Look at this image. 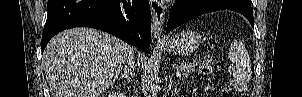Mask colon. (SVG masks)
Instances as JSON below:
<instances>
[{"label":"colon","instance_id":"5ec220e1","mask_svg":"<svg viewBox=\"0 0 302 97\" xmlns=\"http://www.w3.org/2000/svg\"><path fill=\"white\" fill-rule=\"evenodd\" d=\"M212 70H213V63L211 60H204L199 65V72L202 75H209L211 74ZM231 86L232 89L237 92H241L245 88V84L242 81H238V80H233L231 82Z\"/></svg>","mask_w":302,"mask_h":97}]
</instances>
